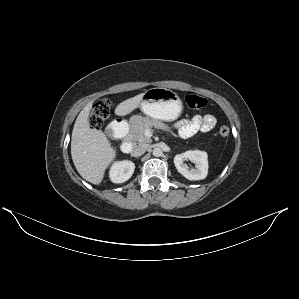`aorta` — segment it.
Here are the masks:
<instances>
[{
    "label": "aorta",
    "instance_id": "762f6f07",
    "mask_svg": "<svg viewBox=\"0 0 299 299\" xmlns=\"http://www.w3.org/2000/svg\"><path fill=\"white\" fill-rule=\"evenodd\" d=\"M152 154H153V156H155V157H160V156H162L163 152H162L161 148H159V147H155V148L152 150Z\"/></svg>",
    "mask_w": 299,
    "mask_h": 299
}]
</instances>
